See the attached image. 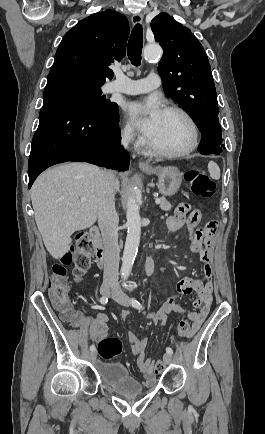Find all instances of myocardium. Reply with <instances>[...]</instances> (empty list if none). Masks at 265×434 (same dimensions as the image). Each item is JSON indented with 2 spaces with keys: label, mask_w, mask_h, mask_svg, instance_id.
Masks as SVG:
<instances>
[{
  "label": "myocardium",
  "mask_w": 265,
  "mask_h": 434,
  "mask_svg": "<svg viewBox=\"0 0 265 434\" xmlns=\"http://www.w3.org/2000/svg\"><path fill=\"white\" fill-rule=\"evenodd\" d=\"M177 113L181 115L188 123L190 127V140L189 143L182 149L177 151H165L156 148L150 142H148L149 150L158 157H163L167 159H178L187 156L193 152L199 143V129L196 121L190 115V113L179 105H170L164 109V113Z\"/></svg>",
  "instance_id": "myocardium-1"
}]
</instances>
